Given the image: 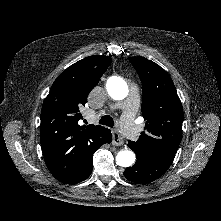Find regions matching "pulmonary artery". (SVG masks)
I'll return each instance as SVG.
<instances>
[{"label": "pulmonary artery", "mask_w": 221, "mask_h": 221, "mask_svg": "<svg viewBox=\"0 0 221 221\" xmlns=\"http://www.w3.org/2000/svg\"><path fill=\"white\" fill-rule=\"evenodd\" d=\"M124 113L120 125L121 131L129 138H134L136 135V126L134 117L136 113L137 100L129 97L123 104Z\"/></svg>", "instance_id": "obj_1"}]
</instances>
